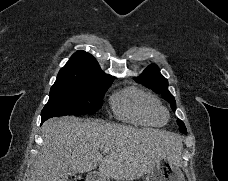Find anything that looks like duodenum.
I'll return each mask as SVG.
<instances>
[{"instance_id":"410a0bca","label":"duodenum","mask_w":228,"mask_h":181,"mask_svg":"<svg viewBox=\"0 0 228 181\" xmlns=\"http://www.w3.org/2000/svg\"><path fill=\"white\" fill-rule=\"evenodd\" d=\"M88 181H99L98 174H89Z\"/></svg>"}]
</instances>
